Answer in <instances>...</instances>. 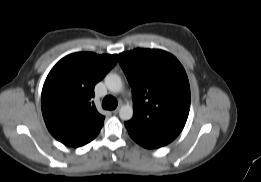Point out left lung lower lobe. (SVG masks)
<instances>
[{"instance_id":"left-lung-lower-lobe-1","label":"left lung lower lobe","mask_w":261,"mask_h":182,"mask_svg":"<svg viewBox=\"0 0 261 182\" xmlns=\"http://www.w3.org/2000/svg\"><path fill=\"white\" fill-rule=\"evenodd\" d=\"M128 130L129 135L131 136V138L137 142L138 144H140L141 146L148 148V149H153V148H159L162 146H165L168 144V142L163 141V140H159V139H155V138H151V137H145V136H141L139 134L133 133L128 127H126Z\"/></svg>"}]
</instances>
